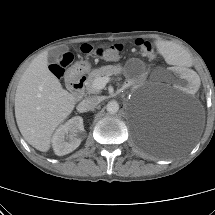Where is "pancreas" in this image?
<instances>
[{"label":"pancreas","instance_id":"1","mask_svg":"<svg viewBox=\"0 0 215 215\" xmlns=\"http://www.w3.org/2000/svg\"><path fill=\"white\" fill-rule=\"evenodd\" d=\"M122 72V67L120 65H107L101 68L94 69L88 74L86 79V90L88 93H96L97 89L93 87V82L98 77H105L111 75H119Z\"/></svg>","mask_w":215,"mask_h":215}]
</instances>
